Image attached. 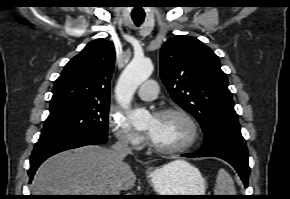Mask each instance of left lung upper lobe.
Listing matches in <instances>:
<instances>
[{
    "mask_svg": "<svg viewBox=\"0 0 290 199\" xmlns=\"http://www.w3.org/2000/svg\"><path fill=\"white\" fill-rule=\"evenodd\" d=\"M160 63L164 85L198 120L205 143L221 134H241L227 76L209 47L194 37L175 36L162 46Z\"/></svg>",
    "mask_w": 290,
    "mask_h": 199,
    "instance_id": "5c2ea615",
    "label": "left lung upper lobe"
}]
</instances>
